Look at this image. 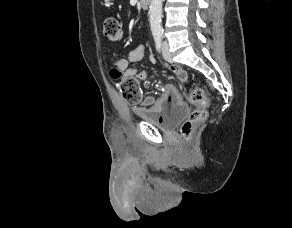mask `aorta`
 <instances>
[{
    "mask_svg": "<svg viewBox=\"0 0 292 228\" xmlns=\"http://www.w3.org/2000/svg\"><path fill=\"white\" fill-rule=\"evenodd\" d=\"M163 0H151L149 6L150 27L153 33L162 32L161 15Z\"/></svg>",
    "mask_w": 292,
    "mask_h": 228,
    "instance_id": "762f6f07",
    "label": "aorta"
}]
</instances>
